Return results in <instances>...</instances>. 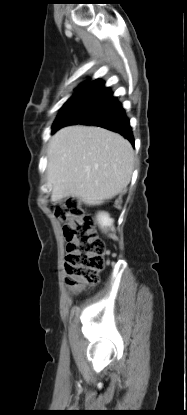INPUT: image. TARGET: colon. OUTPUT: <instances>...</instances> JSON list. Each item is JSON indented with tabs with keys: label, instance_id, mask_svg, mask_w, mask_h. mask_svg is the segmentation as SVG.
Wrapping results in <instances>:
<instances>
[{
	"label": "colon",
	"instance_id": "1",
	"mask_svg": "<svg viewBox=\"0 0 187 415\" xmlns=\"http://www.w3.org/2000/svg\"><path fill=\"white\" fill-rule=\"evenodd\" d=\"M64 223L67 240L64 268L68 286L79 291L94 284L105 266L104 243L96 235L93 217L84 211L77 200L71 199L56 210Z\"/></svg>",
	"mask_w": 187,
	"mask_h": 415
}]
</instances>
